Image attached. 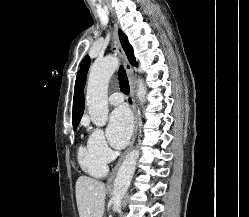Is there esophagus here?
I'll return each mask as SVG.
<instances>
[{"mask_svg":"<svg viewBox=\"0 0 249 217\" xmlns=\"http://www.w3.org/2000/svg\"><path fill=\"white\" fill-rule=\"evenodd\" d=\"M114 39H115V46L117 49L118 54L120 55V57L123 60V64H124V68L127 72L128 75V79H129V86H130V93L129 96L127 97V102L129 103V105L131 106L132 110H133V114H134V131H133V135L129 144V147L127 148V150L124 152V154L121 156V158L119 159V161L117 162L116 166L114 167L112 173L110 174L107 184L108 185H112L116 172L122 162V160L124 159V157L126 156V154L130 151V149L133 146V143L135 141L136 138V133H137V124H138V119H137V111H136V103H135V98H134V83H133V68L132 65L130 64L126 53L121 45V42L119 40L118 37V25L116 23H114Z\"/></svg>","mask_w":249,"mask_h":217,"instance_id":"1","label":"esophagus"}]
</instances>
